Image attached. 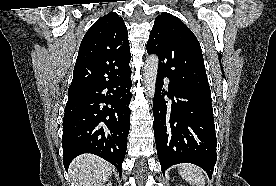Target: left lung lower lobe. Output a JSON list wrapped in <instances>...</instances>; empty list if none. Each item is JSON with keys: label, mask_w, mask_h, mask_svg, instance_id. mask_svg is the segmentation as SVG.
<instances>
[{"label": "left lung lower lobe", "mask_w": 276, "mask_h": 186, "mask_svg": "<svg viewBox=\"0 0 276 186\" xmlns=\"http://www.w3.org/2000/svg\"><path fill=\"white\" fill-rule=\"evenodd\" d=\"M158 73L153 103L154 135L164 173L170 166L192 163L211 178L217 159L211 92H197L170 82L165 91ZM165 96L172 99L165 101Z\"/></svg>", "instance_id": "left-lung-lower-lobe-1"}]
</instances>
